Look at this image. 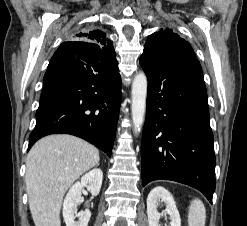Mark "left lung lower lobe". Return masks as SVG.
<instances>
[{"instance_id": "left-lung-lower-lobe-1", "label": "left lung lower lobe", "mask_w": 247, "mask_h": 226, "mask_svg": "<svg viewBox=\"0 0 247 226\" xmlns=\"http://www.w3.org/2000/svg\"><path fill=\"white\" fill-rule=\"evenodd\" d=\"M140 65L148 78L142 185L159 179L180 182L198 189L212 203L215 154L199 61L143 52Z\"/></svg>"}]
</instances>
